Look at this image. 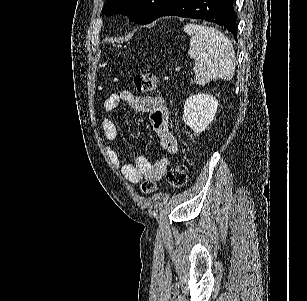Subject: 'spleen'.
I'll use <instances>...</instances> for the list:
<instances>
[{"mask_svg": "<svg viewBox=\"0 0 307 301\" xmlns=\"http://www.w3.org/2000/svg\"><path fill=\"white\" fill-rule=\"evenodd\" d=\"M190 38L189 56L197 62L196 84H207L210 80H231L235 72V50L226 34L213 26H202L187 22L183 26Z\"/></svg>", "mask_w": 307, "mask_h": 301, "instance_id": "spleen-1", "label": "spleen"}]
</instances>
